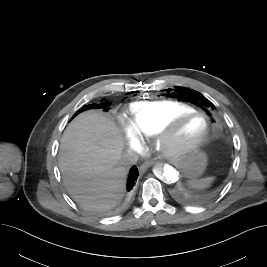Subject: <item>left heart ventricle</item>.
<instances>
[{
    "label": "left heart ventricle",
    "mask_w": 267,
    "mask_h": 267,
    "mask_svg": "<svg viewBox=\"0 0 267 267\" xmlns=\"http://www.w3.org/2000/svg\"><path fill=\"white\" fill-rule=\"evenodd\" d=\"M204 120L200 116H193L181 123L174 132V139L178 142L192 141L202 133Z\"/></svg>",
    "instance_id": "left-heart-ventricle-1"
}]
</instances>
